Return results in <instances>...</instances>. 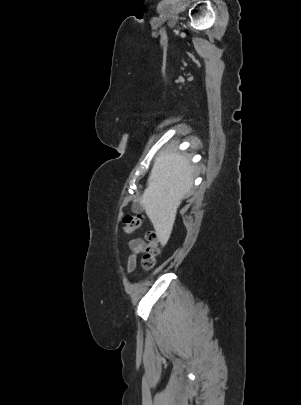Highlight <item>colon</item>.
Here are the masks:
<instances>
[{"label": "colon", "mask_w": 301, "mask_h": 405, "mask_svg": "<svg viewBox=\"0 0 301 405\" xmlns=\"http://www.w3.org/2000/svg\"><path fill=\"white\" fill-rule=\"evenodd\" d=\"M143 216L140 214H128L123 219L124 231L133 232L141 227ZM147 244L144 249L142 265L145 269H151L155 264V258L159 254V239L155 231L149 230L146 233Z\"/></svg>", "instance_id": "5ec220e1"}]
</instances>
